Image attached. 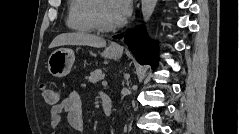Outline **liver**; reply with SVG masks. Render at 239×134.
Instances as JSON below:
<instances>
[{
    "mask_svg": "<svg viewBox=\"0 0 239 134\" xmlns=\"http://www.w3.org/2000/svg\"><path fill=\"white\" fill-rule=\"evenodd\" d=\"M64 45H83L101 48L106 46V41L98 36L82 32L64 33L56 36L49 48Z\"/></svg>",
    "mask_w": 239,
    "mask_h": 134,
    "instance_id": "obj_1",
    "label": "liver"
}]
</instances>
